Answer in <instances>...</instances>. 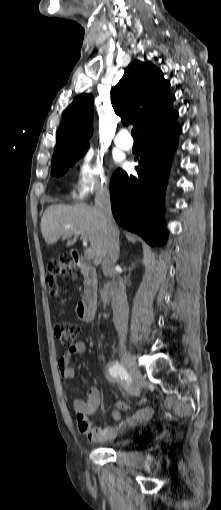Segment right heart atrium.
Instances as JSON below:
<instances>
[{
    "label": "right heart atrium",
    "instance_id": "obj_1",
    "mask_svg": "<svg viewBox=\"0 0 221 510\" xmlns=\"http://www.w3.org/2000/svg\"><path fill=\"white\" fill-rule=\"evenodd\" d=\"M106 186L107 178L102 156L92 150H85L80 157L77 174L71 187L72 196L84 198Z\"/></svg>",
    "mask_w": 221,
    "mask_h": 510
}]
</instances>
